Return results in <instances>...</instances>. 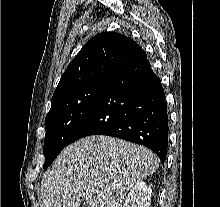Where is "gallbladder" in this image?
<instances>
[{
	"mask_svg": "<svg viewBox=\"0 0 220 207\" xmlns=\"http://www.w3.org/2000/svg\"><path fill=\"white\" fill-rule=\"evenodd\" d=\"M81 207H88V205L87 204H83Z\"/></svg>",
	"mask_w": 220,
	"mask_h": 207,
	"instance_id": "gallbladder-1",
	"label": "gallbladder"
}]
</instances>
